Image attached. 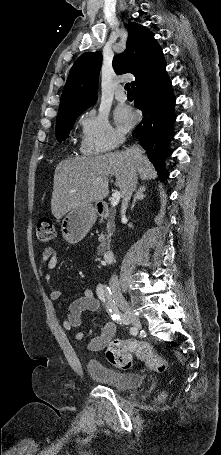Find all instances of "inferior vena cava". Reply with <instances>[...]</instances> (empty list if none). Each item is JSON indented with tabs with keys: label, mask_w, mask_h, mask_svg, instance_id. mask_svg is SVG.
Returning <instances> with one entry per match:
<instances>
[{
	"label": "inferior vena cava",
	"mask_w": 221,
	"mask_h": 455,
	"mask_svg": "<svg viewBox=\"0 0 221 455\" xmlns=\"http://www.w3.org/2000/svg\"><path fill=\"white\" fill-rule=\"evenodd\" d=\"M125 140L124 137H120V142H123ZM137 175L136 174H133L129 180H128V184L126 186V189L123 193V200H122V213L125 212L127 206H128V203L130 201V198L132 196V193L133 191L135 190L136 188V184H137ZM110 286L111 287H115V288H119V281H118V277L116 275H112L111 279H110Z\"/></svg>",
	"instance_id": "inferior-vena-cava-1"
}]
</instances>
